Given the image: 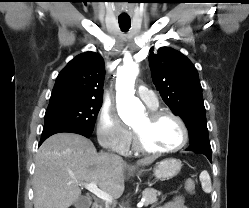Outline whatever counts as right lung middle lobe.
<instances>
[{
    "mask_svg": "<svg viewBox=\"0 0 249 208\" xmlns=\"http://www.w3.org/2000/svg\"><path fill=\"white\" fill-rule=\"evenodd\" d=\"M101 106L102 101H77L48 107L44 126L59 125L92 134Z\"/></svg>",
    "mask_w": 249,
    "mask_h": 208,
    "instance_id": "obj_1",
    "label": "right lung middle lobe"
}]
</instances>
